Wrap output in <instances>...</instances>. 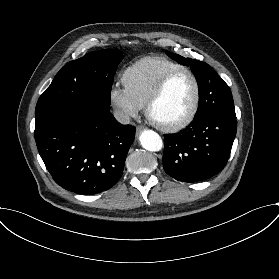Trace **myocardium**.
<instances>
[{"label":"myocardium","instance_id":"f54148a6","mask_svg":"<svg viewBox=\"0 0 279 279\" xmlns=\"http://www.w3.org/2000/svg\"><path fill=\"white\" fill-rule=\"evenodd\" d=\"M182 74H187L191 77L194 87H195V93H194V99L192 102V105L188 112L179 120L171 123L161 122L157 120L153 116V108L156 102L162 97L170 83L178 76ZM200 99H201V87L200 83L195 76V74L189 70V69H180L173 71L169 74H167L157 85V87L153 90L151 93L148 101H147V115L151 121H153L155 124H157L162 129L169 131V132H175L178 130H181L185 127H187L195 118L200 105Z\"/></svg>","mask_w":279,"mask_h":279}]
</instances>
